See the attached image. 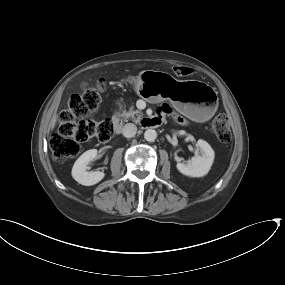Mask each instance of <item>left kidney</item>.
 I'll list each match as a JSON object with an SVG mask.
<instances>
[{
  "label": "left kidney",
  "instance_id": "obj_1",
  "mask_svg": "<svg viewBox=\"0 0 285 285\" xmlns=\"http://www.w3.org/2000/svg\"><path fill=\"white\" fill-rule=\"evenodd\" d=\"M214 150L204 140L199 139L196 143V154L187 163H177L179 172L190 177H202L206 175L214 161Z\"/></svg>",
  "mask_w": 285,
  "mask_h": 285
}]
</instances>
